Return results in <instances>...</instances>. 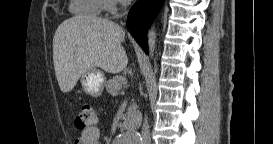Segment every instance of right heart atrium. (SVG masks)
Masks as SVG:
<instances>
[{
	"label": "right heart atrium",
	"mask_w": 273,
	"mask_h": 144,
	"mask_svg": "<svg viewBox=\"0 0 273 144\" xmlns=\"http://www.w3.org/2000/svg\"><path fill=\"white\" fill-rule=\"evenodd\" d=\"M103 7L102 10L111 14L115 15L118 12L120 2L117 0H102Z\"/></svg>",
	"instance_id": "right-heart-atrium-1"
}]
</instances>
